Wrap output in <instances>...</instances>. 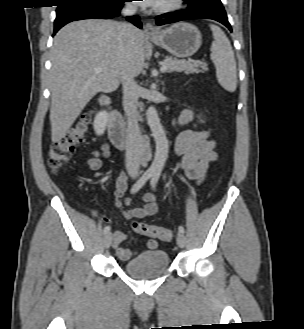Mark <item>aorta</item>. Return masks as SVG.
<instances>
[{
	"mask_svg": "<svg viewBox=\"0 0 304 329\" xmlns=\"http://www.w3.org/2000/svg\"><path fill=\"white\" fill-rule=\"evenodd\" d=\"M147 123L151 129L156 144V152L150 170L161 172L168 157V140L155 107L150 106L146 111Z\"/></svg>",
	"mask_w": 304,
	"mask_h": 329,
	"instance_id": "762f6f07",
	"label": "aorta"
}]
</instances>
